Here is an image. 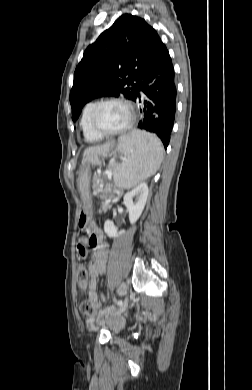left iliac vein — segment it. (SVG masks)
<instances>
[{
	"instance_id": "left-iliac-vein-1",
	"label": "left iliac vein",
	"mask_w": 252,
	"mask_h": 390,
	"mask_svg": "<svg viewBox=\"0 0 252 390\" xmlns=\"http://www.w3.org/2000/svg\"><path fill=\"white\" fill-rule=\"evenodd\" d=\"M126 288H127V285L125 283L121 284L120 287L118 288V293L119 294H124L126 292ZM128 306V299L125 298L123 300V303L122 305L120 306V308H118L117 310L113 311L111 308L109 310H107L105 312V316L102 317V318H98L96 320V326H100L102 324H104L106 321H108L109 319L112 320V321H116V320H120L121 319V315L122 313L126 310Z\"/></svg>"
}]
</instances>
